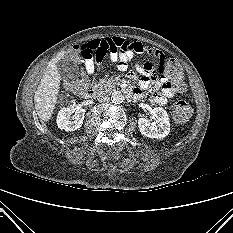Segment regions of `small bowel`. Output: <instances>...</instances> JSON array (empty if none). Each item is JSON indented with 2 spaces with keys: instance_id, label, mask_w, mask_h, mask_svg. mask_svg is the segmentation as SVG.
Segmentation results:
<instances>
[{
  "instance_id": "obj_1",
  "label": "small bowel",
  "mask_w": 233,
  "mask_h": 233,
  "mask_svg": "<svg viewBox=\"0 0 233 233\" xmlns=\"http://www.w3.org/2000/svg\"><path fill=\"white\" fill-rule=\"evenodd\" d=\"M80 55L84 59L85 69L88 75H93L100 68V62L109 54L112 62L116 63L120 70H126L129 62L132 60L134 53H146L157 60L156 69L161 72L165 64L164 54L157 49L148 48L140 42L128 41L119 37L93 39L81 44L78 48ZM155 67L151 63H145L140 69L142 74L139 85L133 92L140 98L143 90L151 84L154 92L152 100L158 105H165L168 99L173 97L177 91L168 85L169 80L164 77L154 76ZM129 78L136 79L134 72L128 73Z\"/></svg>"
}]
</instances>
